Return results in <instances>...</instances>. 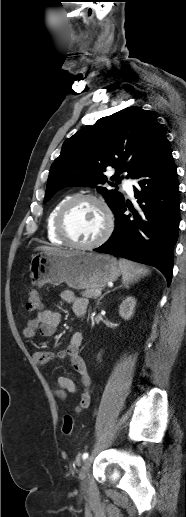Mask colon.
<instances>
[{"mask_svg": "<svg viewBox=\"0 0 186 517\" xmlns=\"http://www.w3.org/2000/svg\"><path fill=\"white\" fill-rule=\"evenodd\" d=\"M42 299L36 291H31L26 300V310L33 313L42 309ZM74 428V419L71 415H65L62 423V432L64 435H71Z\"/></svg>", "mask_w": 186, "mask_h": 517, "instance_id": "1", "label": "colon"}]
</instances>
